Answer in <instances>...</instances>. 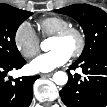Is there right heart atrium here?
<instances>
[{"label":"right heart atrium","mask_w":107,"mask_h":107,"mask_svg":"<svg viewBox=\"0 0 107 107\" xmlns=\"http://www.w3.org/2000/svg\"><path fill=\"white\" fill-rule=\"evenodd\" d=\"M14 42L22 56L32 58L40 50V40L29 22L21 23L15 31Z\"/></svg>","instance_id":"1"}]
</instances>
